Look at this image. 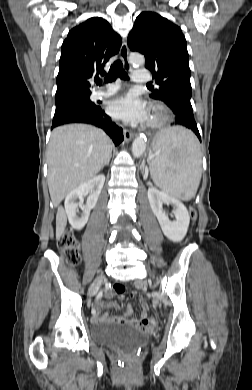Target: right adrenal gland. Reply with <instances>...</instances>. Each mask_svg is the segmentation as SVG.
<instances>
[{
  "label": "right adrenal gland",
  "mask_w": 252,
  "mask_h": 390,
  "mask_svg": "<svg viewBox=\"0 0 252 390\" xmlns=\"http://www.w3.org/2000/svg\"><path fill=\"white\" fill-rule=\"evenodd\" d=\"M110 159H111V156H110V158L107 160V162L103 165V167L106 166V165H109Z\"/></svg>",
  "instance_id": "right-adrenal-gland-1"
}]
</instances>
